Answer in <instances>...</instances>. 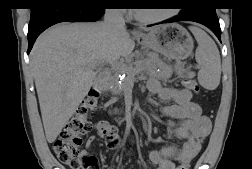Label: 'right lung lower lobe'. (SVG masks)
I'll use <instances>...</instances> for the list:
<instances>
[{"label": "right lung lower lobe", "mask_w": 252, "mask_h": 169, "mask_svg": "<svg viewBox=\"0 0 252 169\" xmlns=\"http://www.w3.org/2000/svg\"><path fill=\"white\" fill-rule=\"evenodd\" d=\"M107 5L87 0H42L32 5L28 27V54L36 38L48 27L60 22L99 20Z\"/></svg>", "instance_id": "right-lung-lower-lobe-1"}]
</instances>
